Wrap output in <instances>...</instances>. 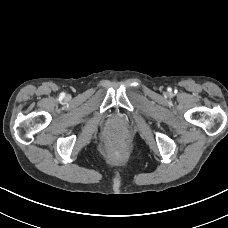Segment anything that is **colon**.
<instances>
[{"label":"colon","mask_w":228,"mask_h":228,"mask_svg":"<svg viewBox=\"0 0 228 228\" xmlns=\"http://www.w3.org/2000/svg\"><path fill=\"white\" fill-rule=\"evenodd\" d=\"M114 150H117V147L116 146H114Z\"/></svg>","instance_id":"obj_1"}]
</instances>
